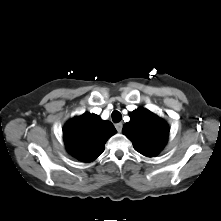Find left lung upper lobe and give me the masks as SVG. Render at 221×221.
Returning a JSON list of instances; mask_svg holds the SVG:
<instances>
[{
	"instance_id": "obj_1",
	"label": "left lung upper lobe",
	"mask_w": 221,
	"mask_h": 221,
	"mask_svg": "<svg viewBox=\"0 0 221 221\" xmlns=\"http://www.w3.org/2000/svg\"><path fill=\"white\" fill-rule=\"evenodd\" d=\"M123 133L132 141L136 151L147 157L156 156L165 146L169 128L166 122L145 108L130 113Z\"/></svg>"
}]
</instances>
